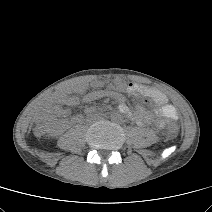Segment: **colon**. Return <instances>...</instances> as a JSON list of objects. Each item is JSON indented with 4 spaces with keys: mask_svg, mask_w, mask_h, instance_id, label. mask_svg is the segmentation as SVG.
I'll list each match as a JSON object with an SVG mask.
<instances>
[{
    "mask_svg": "<svg viewBox=\"0 0 212 212\" xmlns=\"http://www.w3.org/2000/svg\"><path fill=\"white\" fill-rule=\"evenodd\" d=\"M178 130L179 128L176 124H171L168 127V133L170 136H175L178 133ZM49 132H52V123L50 121L40 120L36 122L33 127V133L39 137L44 136Z\"/></svg>",
    "mask_w": 212,
    "mask_h": 212,
    "instance_id": "obj_1",
    "label": "colon"
}]
</instances>
